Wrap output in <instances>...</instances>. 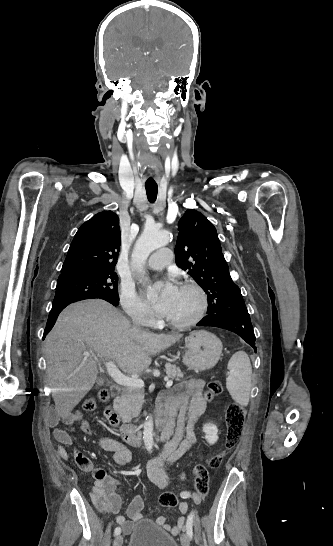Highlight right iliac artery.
<instances>
[{
  "instance_id": "1",
  "label": "right iliac artery",
  "mask_w": 333,
  "mask_h": 546,
  "mask_svg": "<svg viewBox=\"0 0 333 546\" xmlns=\"http://www.w3.org/2000/svg\"><path fill=\"white\" fill-rule=\"evenodd\" d=\"M114 533L115 535H118L121 533V528L120 527H116L115 530H114Z\"/></svg>"
}]
</instances>
